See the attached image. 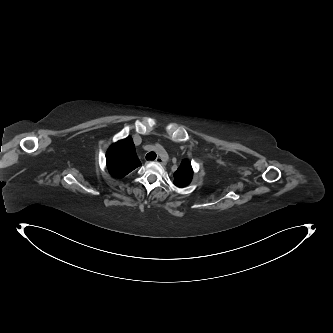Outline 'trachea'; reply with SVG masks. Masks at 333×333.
I'll return each mask as SVG.
<instances>
[{
  "label": "trachea",
  "mask_w": 333,
  "mask_h": 333,
  "mask_svg": "<svg viewBox=\"0 0 333 333\" xmlns=\"http://www.w3.org/2000/svg\"><path fill=\"white\" fill-rule=\"evenodd\" d=\"M157 157L156 153L155 152H149L147 155H146V160H155Z\"/></svg>",
  "instance_id": "trachea-1"
}]
</instances>
